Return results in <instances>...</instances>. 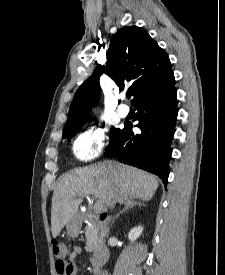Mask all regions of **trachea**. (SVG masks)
<instances>
[{"mask_svg":"<svg viewBox=\"0 0 225 275\" xmlns=\"http://www.w3.org/2000/svg\"><path fill=\"white\" fill-rule=\"evenodd\" d=\"M127 98H128V99L131 98V93H127Z\"/></svg>","mask_w":225,"mask_h":275,"instance_id":"1","label":"trachea"}]
</instances>
